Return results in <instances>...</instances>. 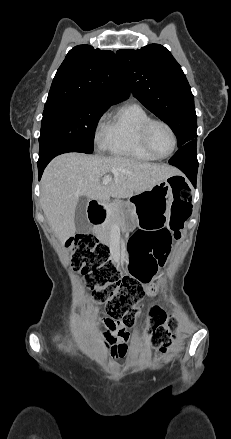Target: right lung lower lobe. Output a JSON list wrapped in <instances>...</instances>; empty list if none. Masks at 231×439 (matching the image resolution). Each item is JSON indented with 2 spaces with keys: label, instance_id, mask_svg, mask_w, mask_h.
Returning a JSON list of instances; mask_svg holds the SVG:
<instances>
[{
  "label": "right lung lower lobe",
  "instance_id": "obj_1",
  "mask_svg": "<svg viewBox=\"0 0 231 439\" xmlns=\"http://www.w3.org/2000/svg\"><path fill=\"white\" fill-rule=\"evenodd\" d=\"M66 152H77L75 148L72 147H59L57 148L52 154L45 158H39L38 160V173H39V179L42 176V173L47 166V164L57 155L66 153Z\"/></svg>",
  "mask_w": 231,
  "mask_h": 439
}]
</instances>
